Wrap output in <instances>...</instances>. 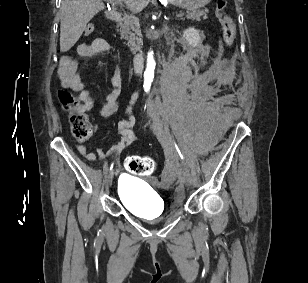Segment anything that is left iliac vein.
<instances>
[{"label": "left iliac vein", "mask_w": 308, "mask_h": 283, "mask_svg": "<svg viewBox=\"0 0 308 283\" xmlns=\"http://www.w3.org/2000/svg\"><path fill=\"white\" fill-rule=\"evenodd\" d=\"M181 180L187 186L192 184V182H193L192 175H191V173L189 172L188 169H184V171L181 175Z\"/></svg>", "instance_id": "obj_1"}]
</instances>
